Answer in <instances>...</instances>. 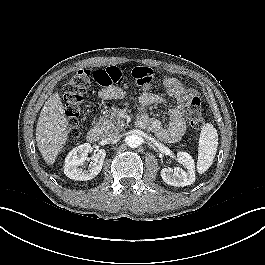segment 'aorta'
I'll return each mask as SVG.
<instances>
[{"label":"aorta","mask_w":265,"mask_h":265,"mask_svg":"<svg viewBox=\"0 0 265 265\" xmlns=\"http://www.w3.org/2000/svg\"><path fill=\"white\" fill-rule=\"evenodd\" d=\"M126 142L129 147L137 148L141 144V139L138 135H130L127 137Z\"/></svg>","instance_id":"1"}]
</instances>
